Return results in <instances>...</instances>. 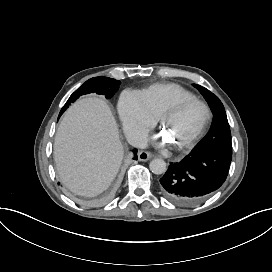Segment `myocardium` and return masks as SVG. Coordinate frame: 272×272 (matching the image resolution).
Returning <instances> with one entry per match:
<instances>
[{
	"mask_svg": "<svg viewBox=\"0 0 272 272\" xmlns=\"http://www.w3.org/2000/svg\"><path fill=\"white\" fill-rule=\"evenodd\" d=\"M191 106L199 107L202 112V117L197 127L191 132L187 140L183 143L184 149L191 147L193 143L196 141V139L200 136L202 131L204 130L209 118V109L207 105L204 102L195 98L194 99L176 98L162 111L160 116L162 125H165L166 117L168 114L180 113L190 108Z\"/></svg>",
	"mask_w": 272,
	"mask_h": 272,
	"instance_id": "obj_1",
	"label": "myocardium"
}]
</instances>
